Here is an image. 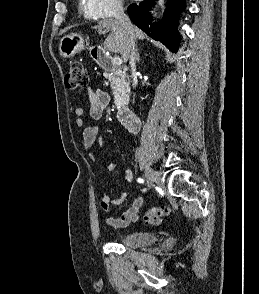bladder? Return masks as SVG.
<instances>
[{
	"label": "bladder",
	"instance_id": "31cf9c89",
	"mask_svg": "<svg viewBox=\"0 0 259 294\" xmlns=\"http://www.w3.org/2000/svg\"><path fill=\"white\" fill-rule=\"evenodd\" d=\"M157 237L154 233L149 232H131L121 236L118 244L130 248H140L153 244Z\"/></svg>",
	"mask_w": 259,
	"mask_h": 294
}]
</instances>
